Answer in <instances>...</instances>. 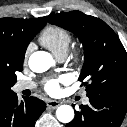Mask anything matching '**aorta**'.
<instances>
[{
  "label": "aorta",
  "instance_id": "762f6f07",
  "mask_svg": "<svg viewBox=\"0 0 127 127\" xmlns=\"http://www.w3.org/2000/svg\"><path fill=\"white\" fill-rule=\"evenodd\" d=\"M54 65L53 57L45 51H37L29 57V68L36 73L47 71ZM57 119L62 123H69L74 118V110L70 105H61L56 110Z\"/></svg>",
  "mask_w": 127,
  "mask_h": 127
}]
</instances>
